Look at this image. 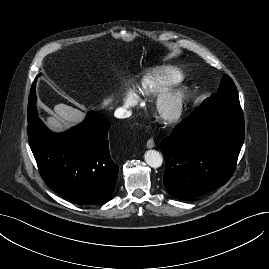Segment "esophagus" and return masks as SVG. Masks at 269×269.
Returning a JSON list of instances; mask_svg holds the SVG:
<instances>
[{"instance_id":"1","label":"esophagus","mask_w":269,"mask_h":269,"mask_svg":"<svg viewBox=\"0 0 269 269\" xmlns=\"http://www.w3.org/2000/svg\"><path fill=\"white\" fill-rule=\"evenodd\" d=\"M147 148H153L155 146V143L152 139H149L146 143Z\"/></svg>"}]
</instances>
